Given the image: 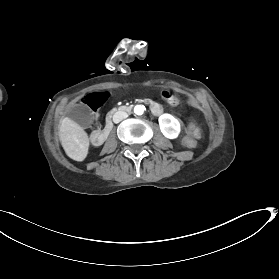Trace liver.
I'll return each mask as SVG.
<instances>
[{
    "instance_id": "1",
    "label": "liver",
    "mask_w": 279,
    "mask_h": 279,
    "mask_svg": "<svg viewBox=\"0 0 279 279\" xmlns=\"http://www.w3.org/2000/svg\"><path fill=\"white\" fill-rule=\"evenodd\" d=\"M59 138L68 157L83 161L88 154L89 139L87 133L75 121L65 117L59 128Z\"/></svg>"
}]
</instances>
